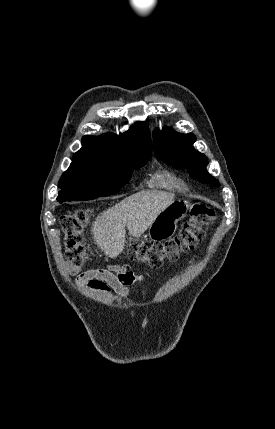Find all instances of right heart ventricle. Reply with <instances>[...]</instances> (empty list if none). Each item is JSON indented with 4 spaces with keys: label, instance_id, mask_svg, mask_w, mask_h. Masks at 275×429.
I'll use <instances>...</instances> for the list:
<instances>
[{
    "label": "right heart ventricle",
    "instance_id": "1",
    "mask_svg": "<svg viewBox=\"0 0 275 429\" xmlns=\"http://www.w3.org/2000/svg\"><path fill=\"white\" fill-rule=\"evenodd\" d=\"M152 182L153 184L167 189H177L184 186L180 179L170 174L156 175Z\"/></svg>",
    "mask_w": 275,
    "mask_h": 429
}]
</instances>
